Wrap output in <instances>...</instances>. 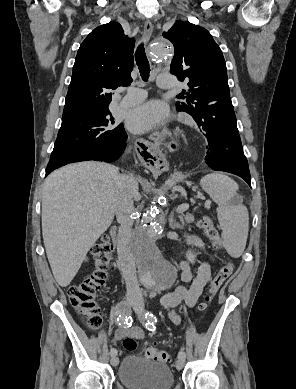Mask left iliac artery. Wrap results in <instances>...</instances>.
<instances>
[{
    "label": "left iliac artery",
    "mask_w": 296,
    "mask_h": 389,
    "mask_svg": "<svg viewBox=\"0 0 296 389\" xmlns=\"http://www.w3.org/2000/svg\"><path fill=\"white\" fill-rule=\"evenodd\" d=\"M145 318L147 322L145 323V326L148 330L154 331L156 329L155 323L157 322L156 316H154L151 312H147L145 314ZM178 358L185 359V352L184 349H181L178 353Z\"/></svg>",
    "instance_id": "left-iliac-artery-1"
}]
</instances>
